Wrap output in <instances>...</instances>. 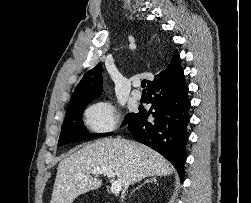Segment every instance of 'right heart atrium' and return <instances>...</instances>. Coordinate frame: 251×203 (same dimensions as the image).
Masks as SVG:
<instances>
[{
  "label": "right heart atrium",
  "instance_id": "right-heart-atrium-1",
  "mask_svg": "<svg viewBox=\"0 0 251 203\" xmlns=\"http://www.w3.org/2000/svg\"><path fill=\"white\" fill-rule=\"evenodd\" d=\"M86 122L96 133H108L116 128L119 122V112L110 102L99 101L88 108Z\"/></svg>",
  "mask_w": 251,
  "mask_h": 203
}]
</instances>
